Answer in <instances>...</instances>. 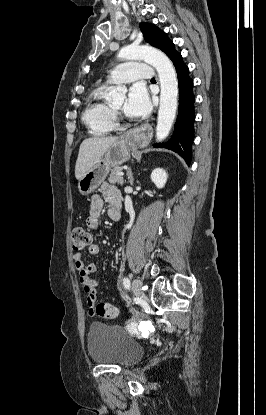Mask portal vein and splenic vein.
I'll return each instance as SVG.
<instances>
[{
    "mask_svg": "<svg viewBox=\"0 0 266 415\" xmlns=\"http://www.w3.org/2000/svg\"><path fill=\"white\" fill-rule=\"evenodd\" d=\"M118 175H119V176H123V175H124V173H123V172H119V173H118Z\"/></svg>",
    "mask_w": 266,
    "mask_h": 415,
    "instance_id": "portal-vein-and-splenic-vein-1",
    "label": "portal vein and splenic vein"
}]
</instances>
